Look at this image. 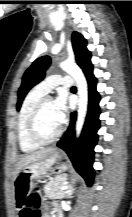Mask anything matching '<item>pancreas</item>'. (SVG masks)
Wrapping results in <instances>:
<instances>
[{"instance_id":"obj_1","label":"pancreas","mask_w":132,"mask_h":217,"mask_svg":"<svg viewBox=\"0 0 132 217\" xmlns=\"http://www.w3.org/2000/svg\"><path fill=\"white\" fill-rule=\"evenodd\" d=\"M66 180L67 176L63 174L46 182L44 185V192L46 197L50 199L63 198L67 191H62L61 187L66 183Z\"/></svg>"}]
</instances>
